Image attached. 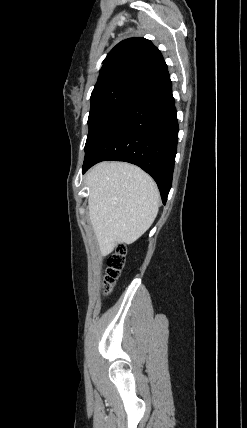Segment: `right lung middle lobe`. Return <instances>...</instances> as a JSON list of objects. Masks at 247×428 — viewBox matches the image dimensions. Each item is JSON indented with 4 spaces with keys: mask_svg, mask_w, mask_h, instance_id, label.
Segmentation results:
<instances>
[{
    "mask_svg": "<svg viewBox=\"0 0 247 428\" xmlns=\"http://www.w3.org/2000/svg\"><path fill=\"white\" fill-rule=\"evenodd\" d=\"M138 94L137 91L125 88H114L91 94L89 133L85 151L89 149L103 128Z\"/></svg>",
    "mask_w": 247,
    "mask_h": 428,
    "instance_id": "1",
    "label": "right lung middle lobe"
}]
</instances>
